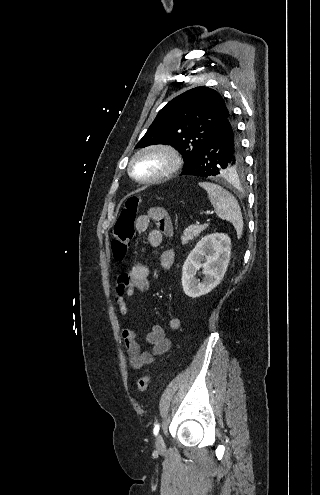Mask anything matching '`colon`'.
Masks as SVG:
<instances>
[{
  "instance_id": "obj_1",
  "label": "colon",
  "mask_w": 320,
  "mask_h": 495,
  "mask_svg": "<svg viewBox=\"0 0 320 495\" xmlns=\"http://www.w3.org/2000/svg\"><path fill=\"white\" fill-rule=\"evenodd\" d=\"M140 203L141 198L137 196L128 197L117 217L111 240V251L117 261H122L129 251L134 235V221ZM150 381L151 377L148 374L140 377L137 382L138 391L140 393L146 392L150 385Z\"/></svg>"
}]
</instances>
